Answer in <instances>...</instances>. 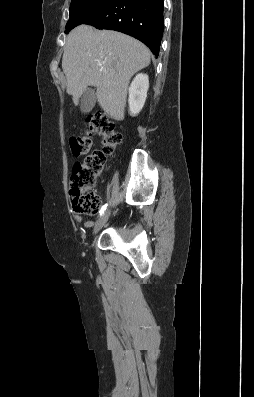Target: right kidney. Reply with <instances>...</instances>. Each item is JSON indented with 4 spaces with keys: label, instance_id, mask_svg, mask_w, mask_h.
<instances>
[{
    "label": "right kidney",
    "instance_id": "right-kidney-1",
    "mask_svg": "<svg viewBox=\"0 0 254 397\" xmlns=\"http://www.w3.org/2000/svg\"><path fill=\"white\" fill-rule=\"evenodd\" d=\"M149 88V78L146 74H138L129 87V110L132 116L137 115L144 106Z\"/></svg>",
    "mask_w": 254,
    "mask_h": 397
}]
</instances>
